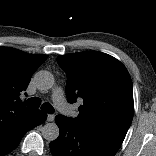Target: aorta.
I'll return each mask as SVG.
<instances>
[{
	"label": "aorta",
	"instance_id": "obj_1",
	"mask_svg": "<svg viewBox=\"0 0 156 156\" xmlns=\"http://www.w3.org/2000/svg\"><path fill=\"white\" fill-rule=\"evenodd\" d=\"M34 80L38 89L42 91L49 90L54 85V77L48 71H39L35 74ZM59 128L56 123H47L42 128V136L51 142L58 138Z\"/></svg>",
	"mask_w": 156,
	"mask_h": 156
}]
</instances>
